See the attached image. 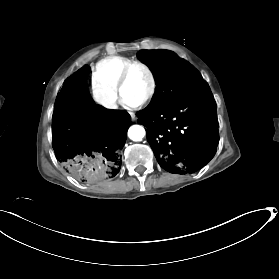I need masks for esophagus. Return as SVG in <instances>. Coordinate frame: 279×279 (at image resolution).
Masks as SVG:
<instances>
[{
  "label": "esophagus",
  "instance_id": "obj_1",
  "mask_svg": "<svg viewBox=\"0 0 279 279\" xmlns=\"http://www.w3.org/2000/svg\"><path fill=\"white\" fill-rule=\"evenodd\" d=\"M129 114L131 115L132 120H135V114L133 112H129Z\"/></svg>",
  "mask_w": 279,
  "mask_h": 279
}]
</instances>
